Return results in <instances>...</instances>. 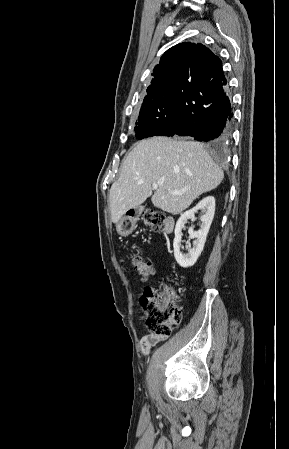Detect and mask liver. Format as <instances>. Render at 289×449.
<instances>
[{"label": "liver", "mask_w": 289, "mask_h": 449, "mask_svg": "<svg viewBox=\"0 0 289 449\" xmlns=\"http://www.w3.org/2000/svg\"><path fill=\"white\" fill-rule=\"evenodd\" d=\"M223 178V171L201 143L163 136L143 140L127 155L119 179L111 186V220L118 223L148 197L165 212H181L201 194L215 189ZM154 183L161 184L152 194Z\"/></svg>", "instance_id": "6515ba94"}]
</instances>
